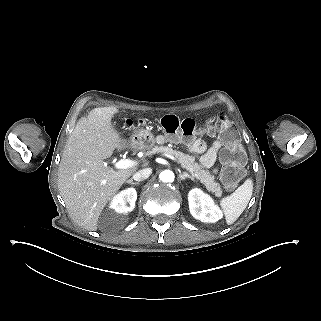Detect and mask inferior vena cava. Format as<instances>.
<instances>
[{
	"mask_svg": "<svg viewBox=\"0 0 321 321\" xmlns=\"http://www.w3.org/2000/svg\"><path fill=\"white\" fill-rule=\"evenodd\" d=\"M152 174L151 168H144L133 175L135 181H142L147 179Z\"/></svg>",
	"mask_w": 321,
	"mask_h": 321,
	"instance_id": "1",
	"label": "inferior vena cava"
}]
</instances>
